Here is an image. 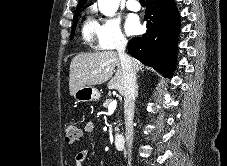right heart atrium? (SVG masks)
I'll return each instance as SVG.
<instances>
[{"label":"right heart atrium","mask_w":227,"mask_h":166,"mask_svg":"<svg viewBox=\"0 0 227 166\" xmlns=\"http://www.w3.org/2000/svg\"><path fill=\"white\" fill-rule=\"evenodd\" d=\"M93 10H96V8ZM96 38L98 45L105 50H112L126 43L120 22L113 16L98 18L96 22Z\"/></svg>","instance_id":"right-heart-atrium-1"}]
</instances>
